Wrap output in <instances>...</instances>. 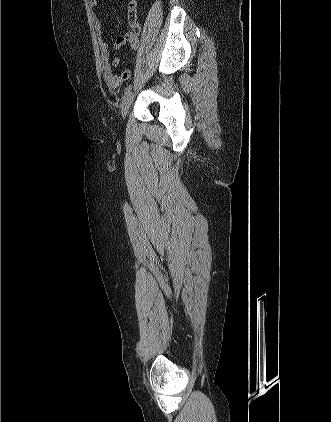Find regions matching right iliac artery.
Returning a JSON list of instances; mask_svg holds the SVG:
<instances>
[{"mask_svg": "<svg viewBox=\"0 0 331 422\" xmlns=\"http://www.w3.org/2000/svg\"><path fill=\"white\" fill-rule=\"evenodd\" d=\"M131 89H132V85H129V86H127V87L125 88V90H124V97H125L126 95H128V93L131 91Z\"/></svg>", "mask_w": 331, "mask_h": 422, "instance_id": "82829eb1", "label": "right iliac artery"}]
</instances>
